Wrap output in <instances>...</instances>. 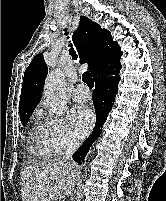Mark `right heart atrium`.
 <instances>
[{
    "label": "right heart atrium",
    "instance_id": "1",
    "mask_svg": "<svg viewBox=\"0 0 166 201\" xmlns=\"http://www.w3.org/2000/svg\"><path fill=\"white\" fill-rule=\"evenodd\" d=\"M43 130L47 142L56 154L77 145L67 122L60 116H45Z\"/></svg>",
    "mask_w": 166,
    "mask_h": 201
}]
</instances>
